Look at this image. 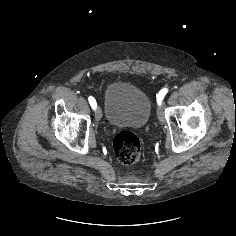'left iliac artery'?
<instances>
[{
	"mask_svg": "<svg viewBox=\"0 0 236 236\" xmlns=\"http://www.w3.org/2000/svg\"><path fill=\"white\" fill-rule=\"evenodd\" d=\"M168 89L167 88H163L159 91V93L157 94V103L158 105H161L163 98L165 97V95L167 94Z\"/></svg>",
	"mask_w": 236,
	"mask_h": 236,
	"instance_id": "obj_1",
	"label": "left iliac artery"
}]
</instances>
